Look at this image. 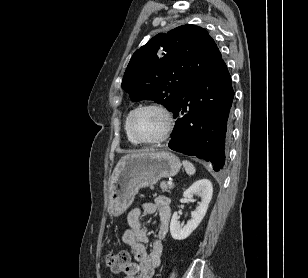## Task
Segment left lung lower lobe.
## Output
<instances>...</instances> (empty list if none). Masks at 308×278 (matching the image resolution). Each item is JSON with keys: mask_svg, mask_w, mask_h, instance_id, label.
Segmentation results:
<instances>
[{"mask_svg": "<svg viewBox=\"0 0 308 278\" xmlns=\"http://www.w3.org/2000/svg\"><path fill=\"white\" fill-rule=\"evenodd\" d=\"M233 97L231 77L221 59L193 83L172 111L177 119L169 148L210 161L215 171L222 169Z\"/></svg>", "mask_w": 308, "mask_h": 278, "instance_id": "obj_1", "label": "left lung lower lobe"}]
</instances>
